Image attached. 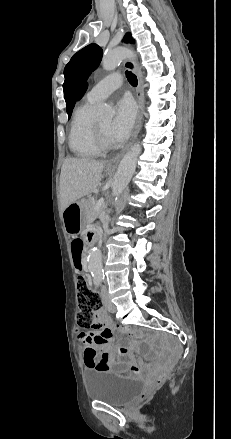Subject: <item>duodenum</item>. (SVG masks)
I'll list each match as a JSON object with an SVG mask.
<instances>
[{"mask_svg": "<svg viewBox=\"0 0 231 439\" xmlns=\"http://www.w3.org/2000/svg\"><path fill=\"white\" fill-rule=\"evenodd\" d=\"M89 235H90L89 236V242L92 243L94 241V239H95V234H94V232H91Z\"/></svg>", "mask_w": 231, "mask_h": 439, "instance_id": "410a0bca", "label": "duodenum"}]
</instances>
